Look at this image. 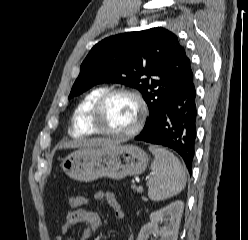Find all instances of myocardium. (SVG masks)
Listing matches in <instances>:
<instances>
[{"instance_id":"myocardium-1","label":"myocardium","mask_w":248,"mask_h":240,"mask_svg":"<svg viewBox=\"0 0 248 240\" xmlns=\"http://www.w3.org/2000/svg\"><path fill=\"white\" fill-rule=\"evenodd\" d=\"M116 95H128L132 97L137 102L139 107V116L136 121V124L133 126L132 129L126 132H114V131L106 130L101 126V116L103 113V109L107 104V102ZM147 112H148L147 104L143 96L137 90L131 88H124V87L112 88L105 91L96 101L92 109L90 123L95 133H98L100 135L112 137V138H130L137 135L143 128V125L147 117Z\"/></svg>"}]
</instances>
